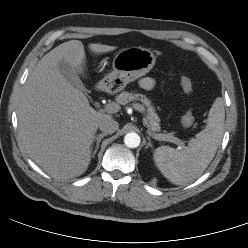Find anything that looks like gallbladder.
<instances>
[{
	"label": "gallbladder",
	"instance_id": "gallbladder-1",
	"mask_svg": "<svg viewBox=\"0 0 248 248\" xmlns=\"http://www.w3.org/2000/svg\"><path fill=\"white\" fill-rule=\"evenodd\" d=\"M58 70L64 76V78L72 85L79 88L81 91H86L85 86L80 80L75 69L66 61L59 62Z\"/></svg>",
	"mask_w": 248,
	"mask_h": 248
}]
</instances>
